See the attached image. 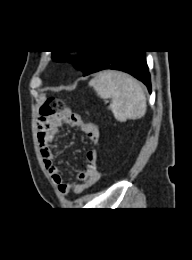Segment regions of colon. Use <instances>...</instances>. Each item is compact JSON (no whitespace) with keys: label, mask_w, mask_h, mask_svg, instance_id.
<instances>
[{"label":"colon","mask_w":192,"mask_h":260,"mask_svg":"<svg viewBox=\"0 0 192 260\" xmlns=\"http://www.w3.org/2000/svg\"><path fill=\"white\" fill-rule=\"evenodd\" d=\"M67 111L68 109L61 100L57 98H49L42 105L40 114L42 119H51L53 117L65 115Z\"/></svg>","instance_id":"colon-1"}]
</instances>
